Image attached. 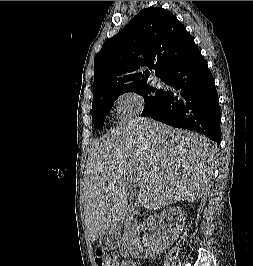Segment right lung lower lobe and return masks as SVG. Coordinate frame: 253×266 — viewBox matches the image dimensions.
<instances>
[{"label": "right lung lower lobe", "instance_id": "obj_1", "mask_svg": "<svg viewBox=\"0 0 253 266\" xmlns=\"http://www.w3.org/2000/svg\"><path fill=\"white\" fill-rule=\"evenodd\" d=\"M172 90H162L159 103L144 116L193 130L220 144L221 112L214 78L197 49L162 77Z\"/></svg>", "mask_w": 253, "mask_h": 266}]
</instances>
